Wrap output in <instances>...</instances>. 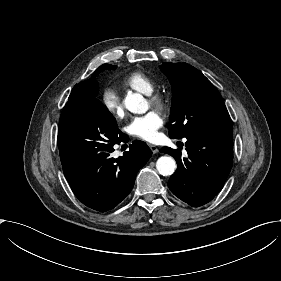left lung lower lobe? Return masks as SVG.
Returning <instances> with one entry per match:
<instances>
[{
  "instance_id": "left-lung-lower-lobe-1",
  "label": "left lung lower lobe",
  "mask_w": 281,
  "mask_h": 281,
  "mask_svg": "<svg viewBox=\"0 0 281 281\" xmlns=\"http://www.w3.org/2000/svg\"><path fill=\"white\" fill-rule=\"evenodd\" d=\"M188 158H181L179 150L163 147L171 154L177 170L168 186L172 193L193 207L211 201L222 189L233 163L232 130L196 133L186 136Z\"/></svg>"
}]
</instances>
